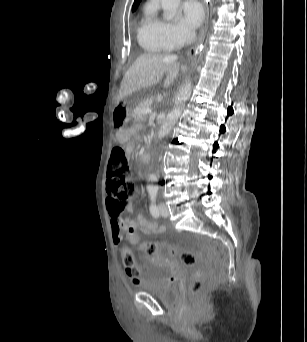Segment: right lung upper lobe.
<instances>
[{"label": "right lung upper lobe", "mask_w": 307, "mask_h": 342, "mask_svg": "<svg viewBox=\"0 0 307 342\" xmlns=\"http://www.w3.org/2000/svg\"><path fill=\"white\" fill-rule=\"evenodd\" d=\"M140 2V0H135L134 4H133V7H132V10L135 11L136 7H137V4Z\"/></svg>", "instance_id": "obj_1"}]
</instances>
